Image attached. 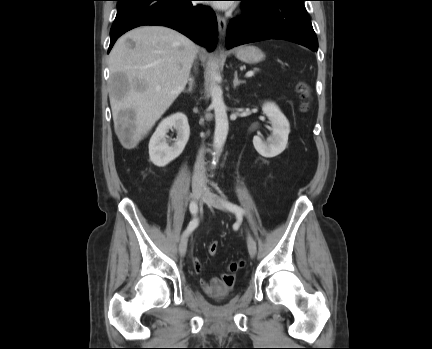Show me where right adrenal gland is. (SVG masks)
Here are the masks:
<instances>
[{
    "label": "right adrenal gland",
    "mask_w": 432,
    "mask_h": 349,
    "mask_svg": "<svg viewBox=\"0 0 432 349\" xmlns=\"http://www.w3.org/2000/svg\"><path fill=\"white\" fill-rule=\"evenodd\" d=\"M188 85H189L188 89H187V90H184V91H185V92H189V93H191L192 90H193V87H194V85H195L194 77L191 76V75H190V77L188 78Z\"/></svg>",
    "instance_id": "2a0ac1e0"
}]
</instances>
